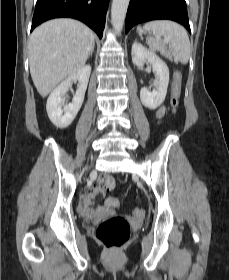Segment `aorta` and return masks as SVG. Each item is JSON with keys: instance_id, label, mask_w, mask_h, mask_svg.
Here are the masks:
<instances>
[{"instance_id": "762f6f07", "label": "aorta", "mask_w": 229, "mask_h": 280, "mask_svg": "<svg viewBox=\"0 0 229 280\" xmlns=\"http://www.w3.org/2000/svg\"><path fill=\"white\" fill-rule=\"evenodd\" d=\"M129 1L130 0H113L111 8V22L117 33H119L123 28Z\"/></svg>"}]
</instances>
